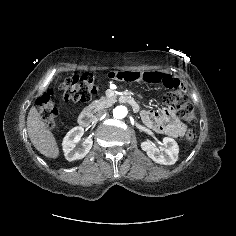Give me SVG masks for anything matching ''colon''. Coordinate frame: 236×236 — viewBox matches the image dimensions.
Segmentation results:
<instances>
[{
  "instance_id": "colon-1",
  "label": "colon",
  "mask_w": 236,
  "mask_h": 236,
  "mask_svg": "<svg viewBox=\"0 0 236 236\" xmlns=\"http://www.w3.org/2000/svg\"><path fill=\"white\" fill-rule=\"evenodd\" d=\"M59 89L68 101H86L96 92L94 77L90 74L68 75L61 79ZM165 96V101L176 107L180 118L191 124L197 122L195 108L188 101L187 96L178 87ZM36 108L40 113L44 123L52 128L58 116V108L52 99V91H48L40 96L36 102ZM197 133L194 129H188L185 138L189 142L196 139Z\"/></svg>"
}]
</instances>
